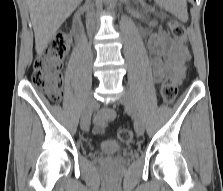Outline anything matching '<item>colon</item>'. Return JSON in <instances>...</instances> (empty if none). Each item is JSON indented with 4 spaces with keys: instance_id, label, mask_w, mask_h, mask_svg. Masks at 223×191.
Returning a JSON list of instances; mask_svg holds the SVG:
<instances>
[{
    "instance_id": "5ec220e1",
    "label": "colon",
    "mask_w": 223,
    "mask_h": 191,
    "mask_svg": "<svg viewBox=\"0 0 223 191\" xmlns=\"http://www.w3.org/2000/svg\"><path fill=\"white\" fill-rule=\"evenodd\" d=\"M171 34L180 42L186 38L185 26L177 21L169 22ZM69 37L57 36L39 55L33 64L32 84L44 92L51 100L59 101L62 96V65L63 59L69 49ZM177 95V85L173 78L164 81L161 87V97L166 104H171ZM118 138L123 143H129L133 139L132 131L121 129Z\"/></svg>"
}]
</instances>
